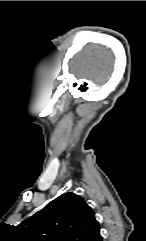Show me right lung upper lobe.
<instances>
[{
  "label": "right lung upper lobe",
  "mask_w": 146,
  "mask_h": 241,
  "mask_svg": "<svg viewBox=\"0 0 146 241\" xmlns=\"http://www.w3.org/2000/svg\"><path fill=\"white\" fill-rule=\"evenodd\" d=\"M21 225L32 241H102L94 212L74 193L60 195Z\"/></svg>",
  "instance_id": "1"
}]
</instances>
